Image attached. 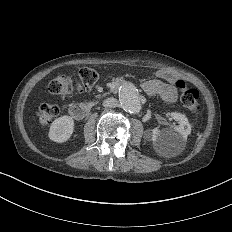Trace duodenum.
I'll list each match as a JSON object with an SVG mask.
<instances>
[{"mask_svg": "<svg viewBox=\"0 0 232 232\" xmlns=\"http://www.w3.org/2000/svg\"><path fill=\"white\" fill-rule=\"evenodd\" d=\"M123 84L122 80H116L113 83L114 88H118ZM90 112V106L88 104H74L69 108V114L73 119L81 120L85 118Z\"/></svg>", "mask_w": 232, "mask_h": 232, "instance_id": "duodenum-1", "label": "duodenum"}]
</instances>
